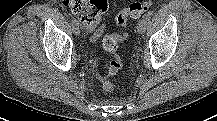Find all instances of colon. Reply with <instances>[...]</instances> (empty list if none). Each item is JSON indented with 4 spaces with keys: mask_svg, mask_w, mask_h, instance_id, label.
Returning a JSON list of instances; mask_svg holds the SVG:
<instances>
[{
    "mask_svg": "<svg viewBox=\"0 0 217 121\" xmlns=\"http://www.w3.org/2000/svg\"><path fill=\"white\" fill-rule=\"evenodd\" d=\"M63 5L73 14H76L81 22L100 32L99 27L103 14L107 11L106 0H63ZM153 5V0L131 3L126 9L116 16V23L120 27H126L129 17L138 18ZM128 34H115L106 36L103 39V47L112 55V60L107 68V75L116 74L122 67V60L118 54L119 43L127 39ZM102 89L106 93H111L115 89V84L111 80H104Z\"/></svg>",
    "mask_w": 217,
    "mask_h": 121,
    "instance_id": "5ec220e1",
    "label": "colon"
}]
</instances>
